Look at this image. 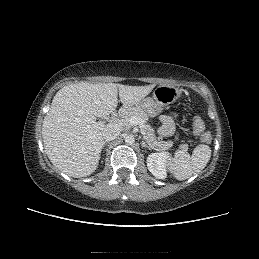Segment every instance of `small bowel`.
Wrapping results in <instances>:
<instances>
[{
	"instance_id": "1",
	"label": "small bowel",
	"mask_w": 259,
	"mask_h": 259,
	"mask_svg": "<svg viewBox=\"0 0 259 259\" xmlns=\"http://www.w3.org/2000/svg\"><path fill=\"white\" fill-rule=\"evenodd\" d=\"M174 115H164L160 118L161 127H160V133L163 136H170L174 132V122H173Z\"/></svg>"
}]
</instances>
